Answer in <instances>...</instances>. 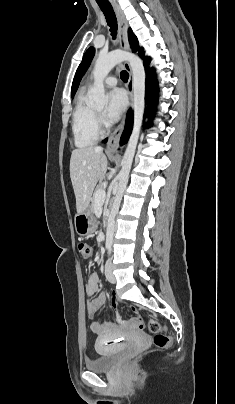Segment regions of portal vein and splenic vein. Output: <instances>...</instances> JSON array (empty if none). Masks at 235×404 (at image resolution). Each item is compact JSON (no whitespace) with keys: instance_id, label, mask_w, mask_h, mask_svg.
<instances>
[{"instance_id":"obj_1","label":"portal vein and splenic vein","mask_w":235,"mask_h":404,"mask_svg":"<svg viewBox=\"0 0 235 404\" xmlns=\"http://www.w3.org/2000/svg\"><path fill=\"white\" fill-rule=\"evenodd\" d=\"M105 198H106L105 190H99L96 192V194H95L96 203L104 202Z\"/></svg>"}]
</instances>
